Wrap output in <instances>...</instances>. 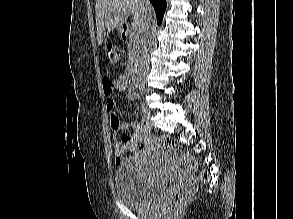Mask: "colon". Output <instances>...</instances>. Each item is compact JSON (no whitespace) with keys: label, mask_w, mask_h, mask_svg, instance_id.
Instances as JSON below:
<instances>
[{"label":"colon","mask_w":293,"mask_h":219,"mask_svg":"<svg viewBox=\"0 0 293 219\" xmlns=\"http://www.w3.org/2000/svg\"><path fill=\"white\" fill-rule=\"evenodd\" d=\"M107 60L109 64L114 65L120 62L123 58V51L119 47L108 44L106 47ZM157 146L164 152L173 155L175 159L189 171H194L197 168V161L194 156L187 152L180 151L179 142L171 136H160L156 139ZM209 180V174L202 171L198 175V183H206ZM196 184L193 182L184 184L175 190L167 199L166 205L170 209L179 207L196 189Z\"/></svg>","instance_id":"1"}]
</instances>
